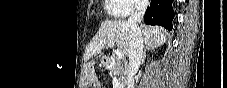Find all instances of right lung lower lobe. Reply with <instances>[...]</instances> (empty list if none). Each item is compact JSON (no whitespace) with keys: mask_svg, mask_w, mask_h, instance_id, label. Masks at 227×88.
<instances>
[{"mask_svg":"<svg viewBox=\"0 0 227 88\" xmlns=\"http://www.w3.org/2000/svg\"><path fill=\"white\" fill-rule=\"evenodd\" d=\"M173 0H151L150 6L145 13V22L148 25H160L168 30H172V20L174 11Z\"/></svg>","mask_w":227,"mask_h":88,"instance_id":"obj_1","label":"right lung lower lobe"}]
</instances>
